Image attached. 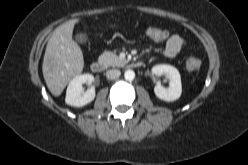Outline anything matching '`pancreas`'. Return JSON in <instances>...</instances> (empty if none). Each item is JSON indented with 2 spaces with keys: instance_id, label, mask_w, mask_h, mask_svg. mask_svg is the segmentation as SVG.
<instances>
[{
  "instance_id": "cf45deb5",
  "label": "pancreas",
  "mask_w": 248,
  "mask_h": 165,
  "mask_svg": "<svg viewBox=\"0 0 248 165\" xmlns=\"http://www.w3.org/2000/svg\"><path fill=\"white\" fill-rule=\"evenodd\" d=\"M99 61L103 63L105 66H112V67H121L127 63V60L120 58L113 52L105 51L103 52L100 57Z\"/></svg>"
}]
</instances>
